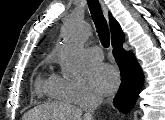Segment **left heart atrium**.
Segmentation results:
<instances>
[{
  "mask_svg": "<svg viewBox=\"0 0 165 120\" xmlns=\"http://www.w3.org/2000/svg\"><path fill=\"white\" fill-rule=\"evenodd\" d=\"M88 79L91 87L101 95L113 93L119 84L116 69L104 63L91 66L88 70Z\"/></svg>",
  "mask_w": 165,
  "mask_h": 120,
  "instance_id": "1",
  "label": "left heart atrium"
}]
</instances>
